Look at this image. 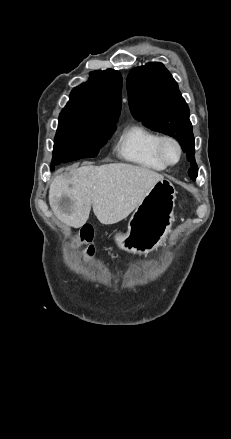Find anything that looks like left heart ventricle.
<instances>
[{
  "label": "left heart ventricle",
  "mask_w": 231,
  "mask_h": 439,
  "mask_svg": "<svg viewBox=\"0 0 231 439\" xmlns=\"http://www.w3.org/2000/svg\"><path fill=\"white\" fill-rule=\"evenodd\" d=\"M165 153H166L167 158L170 161H172V162L176 161V159L178 157V151L173 144L167 143L165 145Z\"/></svg>",
  "instance_id": "obj_1"
}]
</instances>
